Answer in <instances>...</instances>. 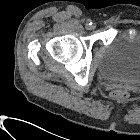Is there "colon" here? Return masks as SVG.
Listing matches in <instances>:
<instances>
[{"instance_id":"1","label":"colon","mask_w":140,"mask_h":140,"mask_svg":"<svg viewBox=\"0 0 140 140\" xmlns=\"http://www.w3.org/2000/svg\"><path fill=\"white\" fill-rule=\"evenodd\" d=\"M111 96L115 100H125L129 96V91L124 88H118L111 92Z\"/></svg>"}]
</instances>
